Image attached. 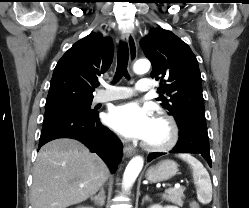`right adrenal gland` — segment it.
Returning a JSON list of instances; mask_svg holds the SVG:
<instances>
[{"label":"right adrenal gland","mask_w":249,"mask_h":208,"mask_svg":"<svg viewBox=\"0 0 249 208\" xmlns=\"http://www.w3.org/2000/svg\"><path fill=\"white\" fill-rule=\"evenodd\" d=\"M105 191L101 188L100 193L97 196L91 197V200L94 201V204L102 207L105 204Z\"/></svg>","instance_id":"2a0ac1e0"}]
</instances>
